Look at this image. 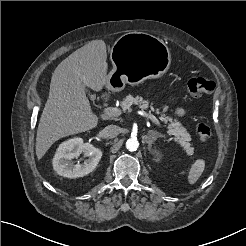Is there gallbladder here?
Wrapping results in <instances>:
<instances>
[{"label":"gallbladder","instance_id":"1","mask_svg":"<svg viewBox=\"0 0 246 246\" xmlns=\"http://www.w3.org/2000/svg\"><path fill=\"white\" fill-rule=\"evenodd\" d=\"M85 90H86V92H88L89 96L92 98V97H93V95H92V94H90V92L88 91V89H86V88H85Z\"/></svg>","mask_w":246,"mask_h":246}]
</instances>
